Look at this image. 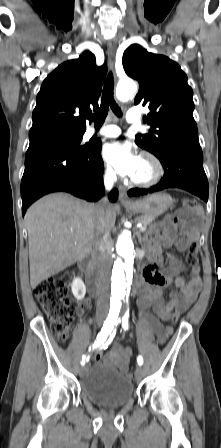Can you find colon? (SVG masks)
Instances as JSON below:
<instances>
[{"mask_svg": "<svg viewBox=\"0 0 221 448\" xmlns=\"http://www.w3.org/2000/svg\"><path fill=\"white\" fill-rule=\"evenodd\" d=\"M200 216L201 208L199 204L194 200L187 199L184 203V210L175 215L174 221L177 224H192L198 227V221L193 218H199ZM187 263L190 266H197L199 263L195 241L190 242L188 246ZM34 294L45 311L57 340L66 341L75 309L67 296L64 277H50L40 282L36 286ZM178 318L174 316L173 320L177 321Z\"/></svg>", "mask_w": 221, "mask_h": 448, "instance_id": "1", "label": "colon"}]
</instances>
